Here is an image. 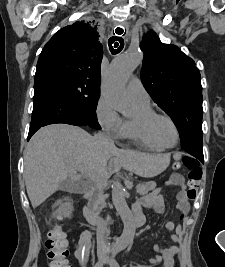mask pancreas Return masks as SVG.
<instances>
[{"instance_id": "cf45deb5", "label": "pancreas", "mask_w": 225, "mask_h": 267, "mask_svg": "<svg viewBox=\"0 0 225 267\" xmlns=\"http://www.w3.org/2000/svg\"><path fill=\"white\" fill-rule=\"evenodd\" d=\"M155 188H156V183L153 181H150L145 184H139L137 186V192L140 195H146L149 191H152Z\"/></svg>"}]
</instances>
